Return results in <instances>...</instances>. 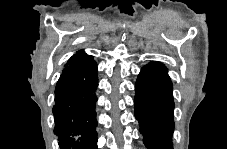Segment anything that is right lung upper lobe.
Here are the masks:
<instances>
[{
  "label": "right lung upper lobe",
  "instance_id": "1",
  "mask_svg": "<svg viewBox=\"0 0 227 149\" xmlns=\"http://www.w3.org/2000/svg\"><path fill=\"white\" fill-rule=\"evenodd\" d=\"M88 57H91V56H88L83 50H79L76 54H74V55L68 60V62L66 63V66L69 65V64H72V63H74V62H76V61H79V60L88 58Z\"/></svg>",
  "mask_w": 227,
  "mask_h": 149
}]
</instances>
